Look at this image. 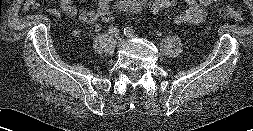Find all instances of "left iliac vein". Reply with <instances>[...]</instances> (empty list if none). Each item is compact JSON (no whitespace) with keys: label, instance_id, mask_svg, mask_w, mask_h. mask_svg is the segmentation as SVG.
Listing matches in <instances>:
<instances>
[{"label":"left iliac vein","instance_id":"4c4485c4","mask_svg":"<svg viewBox=\"0 0 253 131\" xmlns=\"http://www.w3.org/2000/svg\"><path fill=\"white\" fill-rule=\"evenodd\" d=\"M127 37H129V38H133V37H134V34H133V35H130V36H127Z\"/></svg>","mask_w":253,"mask_h":131}]
</instances>
